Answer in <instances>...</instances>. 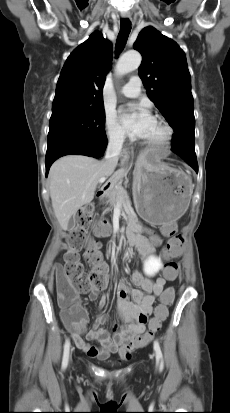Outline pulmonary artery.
<instances>
[{
  "mask_svg": "<svg viewBox=\"0 0 230 413\" xmlns=\"http://www.w3.org/2000/svg\"><path fill=\"white\" fill-rule=\"evenodd\" d=\"M141 79L137 76L131 77L129 81L121 88L120 93L125 97H138L141 92Z\"/></svg>",
  "mask_w": 230,
  "mask_h": 413,
  "instance_id": "pulmonary-artery-1",
  "label": "pulmonary artery"
}]
</instances>
